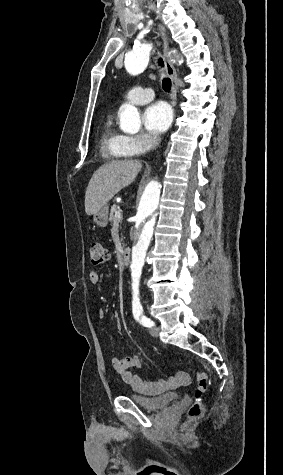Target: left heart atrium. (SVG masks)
<instances>
[{
    "label": "left heart atrium",
    "mask_w": 283,
    "mask_h": 475,
    "mask_svg": "<svg viewBox=\"0 0 283 475\" xmlns=\"http://www.w3.org/2000/svg\"><path fill=\"white\" fill-rule=\"evenodd\" d=\"M173 117L174 113L171 106L164 101H157L145 110L143 123L147 131L159 135L170 128Z\"/></svg>",
    "instance_id": "39dd6f15"
}]
</instances>
